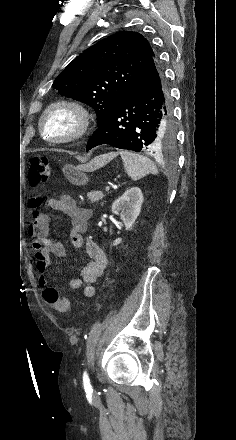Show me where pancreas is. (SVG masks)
Segmentation results:
<instances>
[{
	"instance_id": "obj_1",
	"label": "pancreas",
	"mask_w": 236,
	"mask_h": 440,
	"mask_svg": "<svg viewBox=\"0 0 236 440\" xmlns=\"http://www.w3.org/2000/svg\"><path fill=\"white\" fill-rule=\"evenodd\" d=\"M87 198L91 203L98 202L103 198V193L101 191H91L87 194Z\"/></svg>"
}]
</instances>
